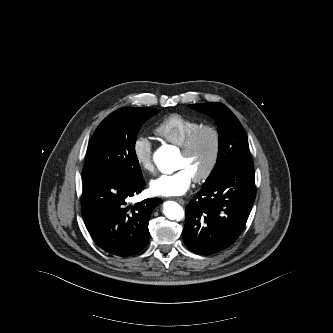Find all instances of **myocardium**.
Masks as SVG:
<instances>
[{"instance_id": "f54148a6", "label": "myocardium", "mask_w": 333, "mask_h": 333, "mask_svg": "<svg viewBox=\"0 0 333 333\" xmlns=\"http://www.w3.org/2000/svg\"><path fill=\"white\" fill-rule=\"evenodd\" d=\"M203 133L211 134L213 138V147L207 166L200 174L193 177V180L197 183H201L207 180L212 175L217 166L221 149L220 132L216 127L212 125H201L186 138L184 144L181 146V153L183 155H190L194 150L199 137Z\"/></svg>"}]
</instances>
